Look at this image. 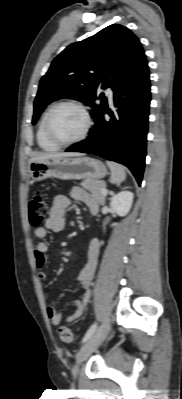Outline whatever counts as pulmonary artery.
I'll use <instances>...</instances> for the list:
<instances>
[{
  "label": "pulmonary artery",
  "instance_id": "pulmonary-artery-1",
  "mask_svg": "<svg viewBox=\"0 0 182 399\" xmlns=\"http://www.w3.org/2000/svg\"><path fill=\"white\" fill-rule=\"evenodd\" d=\"M106 93H107V96H108L109 100L112 102L113 101V94H114L113 90L111 88H108Z\"/></svg>",
  "mask_w": 182,
  "mask_h": 399
}]
</instances>
